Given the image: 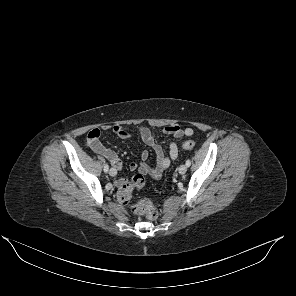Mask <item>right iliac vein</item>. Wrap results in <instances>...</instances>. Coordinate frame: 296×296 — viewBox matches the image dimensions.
Instances as JSON below:
<instances>
[{
    "instance_id": "1",
    "label": "right iliac vein",
    "mask_w": 296,
    "mask_h": 296,
    "mask_svg": "<svg viewBox=\"0 0 296 296\" xmlns=\"http://www.w3.org/2000/svg\"><path fill=\"white\" fill-rule=\"evenodd\" d=\"M109 174H110V176H116V174H117L116 169H115V168H111V169L109 170Z\"/></svg>"
}]
</instances>
